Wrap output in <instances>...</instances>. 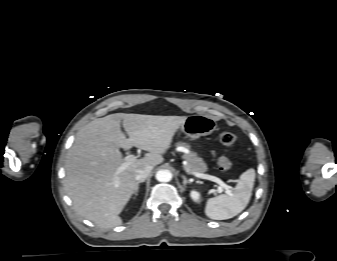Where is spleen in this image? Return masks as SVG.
Returning <instances> with one entry per match:
<instances>
[{
    "mask_svg": "<svg viewBox=\"0 0 337 261\" xmlns=\"http://www.w3.org/2000/svg\"><path fill=\"white\" fill-rule=\"evenodd\" d=\"M255 170L250 168L240 175L231 195L221 194L207 200L205 214L214 220L233 218L248 205L255 181Z\"/></svg>",
    "mask_w": 337,
    "mask_h": 261,
    "instance_id": "spleen-1",
    "label": "spleen"
}]
</instances>
